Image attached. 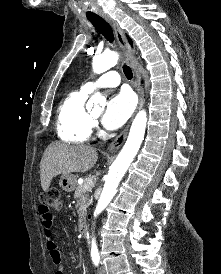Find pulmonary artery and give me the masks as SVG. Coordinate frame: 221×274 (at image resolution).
I'll use <instances>...</instances> for the list:
<instances>
[{"mask_svg":"<svg viewBox=\"0 0 221 274\" xmlns=\"http://www.w3.org/2000/svg\"><path fill=\"white\" fill-rule=\"evenodd\" d=\"M120 84V77L116 71H109L94 81L85 83L82 89L88 93L98 88H113Z\"/></svg>","mask_w":221,"mask_h":274,"instance_id":"pulmonary-artery-1","label":"pulmonary artery"}]
</instances>
